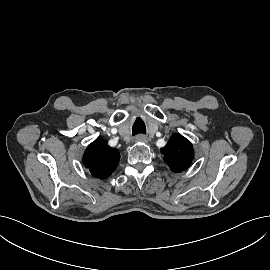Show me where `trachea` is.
Returning a JSON list of instances; mask_svg holds the SVG:
<instances>
[{"label": "trachea", "instance_id": "1", "mask_svg": "<svg viewBox=\"0 0 270 270\" xmlns=\"http://www.w3.org/2000/svg\"><path fill=\"white\" fill-rule=\"evenodd\" d=\"M139 133L146 134L145 124L140 119L136 120V122L134 123V125L132 127V134H133V136H135V135H137Z\"/></svg>", "mask_w": 270, "mask_h": 270}]
</instances>
